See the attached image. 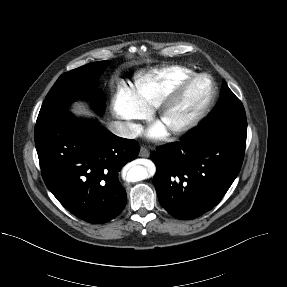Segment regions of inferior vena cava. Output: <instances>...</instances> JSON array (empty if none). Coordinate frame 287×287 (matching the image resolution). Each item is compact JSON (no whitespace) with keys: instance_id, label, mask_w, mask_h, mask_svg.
I'll list each match as a JSON object with an SVG mask.
<instances>
[{"instance_id":"obj_1","label":"inferior vena cava","mask_w":287,"mask_h":287,"mask_svg":"<svg viewBox=\"0 0 287 287\" xmlns=\"http://www.w3.org/2000/svg\"><path fill=\"white\" fill-rule=\"evenodd\" d=\"M109 129L113 134L127 139H134L139 134L137 125L128 122H112L109 126Z\"/></svg>"}]
</instances>
